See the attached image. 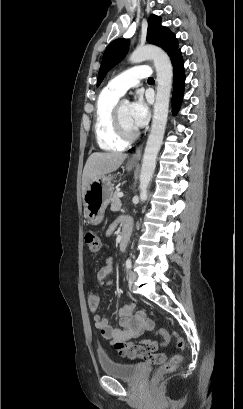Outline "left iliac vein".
Masks as SVG:
<instances>
[{
    "instance_id": "left-iliac-vein-1",
    "label": "left iliac vein",
    "mask_w": 243,
    "mask_h": 409,
    "mask_svg": "<svg viewBox=\"0 0 243 409\" xmlns=\"http://www.w3.org/2000/svg\"><path fill=\"white\" fill-rule=\"evenodd\" d=\"M136 279H137V274L135 272H130L129 278H128L129 284L132 285L136 281Z\"/></svg>"
}]
</instances>
